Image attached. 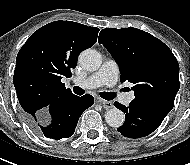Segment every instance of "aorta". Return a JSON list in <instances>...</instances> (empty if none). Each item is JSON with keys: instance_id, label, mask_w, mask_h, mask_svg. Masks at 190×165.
I'll list each match as a JSON object with an SVG mask.
<instances>
[{"instance_id": "762f6f07", "label": "aorta", "mask_w": 190, "mask_h": 165, "mask_svg": "<svg viewBox=\"0 0 190 165\" xmlns=\"http://www.w3.org/2000/svg\"><path fill=\"white\" fill-rule=\"evenodd\" d=\"M80 65L87 71H95L102 64V58L99 52L94 49H86L79 55ZM124 113L117 109L111 108L105 113V120L111 127L118 128L124 123Z\"/></svg>"}]
</instances>
